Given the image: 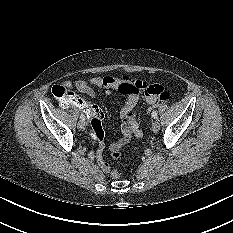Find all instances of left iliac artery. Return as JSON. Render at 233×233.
<instances>
[{
    "label": "left iliac artery",
    "mask_w": 233,
    "mask_h": 233,
    "mask_svg": "<svg viewBox=\"0 0 233 233\" xmlns=\"http://www.w3.org/2000/svg\"><path fill=\"white\" fill-rule=\"evenodd\" d=\"M152 117H153L154 119L157 118V112H156V111H153V112H152Z\"/></svg>",
    "instance_id": "1"
}]
</instances>
